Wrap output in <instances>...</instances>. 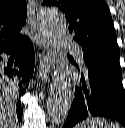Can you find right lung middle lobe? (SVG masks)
Instances as JSON below:
<instances>
[{
	"label": "right lung middle lobe",
	"mask_w": 125,
	"mask_h": 128,
	"mask_svg": "<svg viewBox=\"0 0 125 128\" xmlns=\"http://www.w3.org/2000/svg\"><path fill=\"white\" fill-rule=\"evenodd\" d=\"M0 75H3V73L0 71ZM5 78L10 81L11 84H14L13 79L9 78L8 76L5 75Z\"/></svg>",
	"instance_id": "dd1d6c3e"
}]
</instances>
